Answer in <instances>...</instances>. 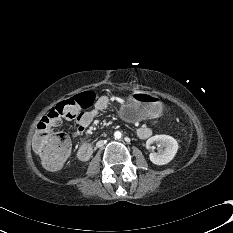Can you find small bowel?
Segmentation results:
<instances>
[{"label": "small bowel", "instance_id": "1", "mask_svg": "<svg viewBox=\"0 0 233 233\" xmlns=\"http://www.w3.org/2000/svg\"><path fill=\"white\" fill-rule=\"evenodd\" d=\"M109 105L110 99L107 96H101L95 101L93 107L89 111L61 115L55 108L46 114L40 122L44 121L45 125L50 129L58 127L62 123L63 118L74 120L77 126L73 135L80 136L85 132L92 121L105 111ZM137 135L141 139H147L152 135V130L150 127L144 125L138 128Z\"/></svg>", "mask_w": 233, "mask_h": 233}]
</instances>
